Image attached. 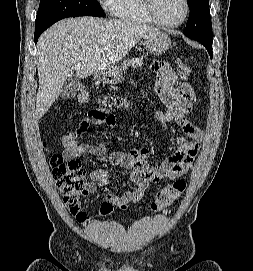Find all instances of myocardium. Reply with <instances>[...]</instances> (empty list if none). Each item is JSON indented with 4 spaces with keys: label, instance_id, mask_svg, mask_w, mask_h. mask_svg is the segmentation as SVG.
<instances>
[{
    "label": "myocardium",
    "instance_id": "1",
    "mask_svg": "<svg viewBox=\"0 0 253 271\" xmlns=\"http://www.w3.org/2000/svg\"><path fill=\"white\" fill-rule=\"evenodd\" d=\"M144 1H145L146 10H147L148 14L150 15V17L154 20L155 23H157L158 25H160L162 27L177 28V27L181 26L187 20V18L189 16L190 5H189L188 0H183L184 6H185L184 15L181 18V20L177 23H167L159 17V15L156 11V8H155V0H144Z\"/></svg>",
    "mask_w": 253,
    "mask_h": 271
}]
</instances>
